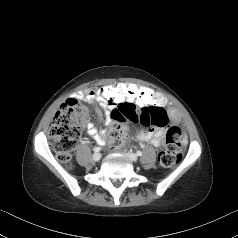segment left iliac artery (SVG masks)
<instances>
[{"mask_svg": "<svg viewBox=\"0 0 238 238\" xmlns=\"http://www.w3.org/2000/svg\"><path fill=\"white\" fill-rule=\"evenodd\" d=\"M137 155L138 156H142V152L141 151H137Z\"/></svg>", "mask_w": 238, "mask_h": 238, "instance_id": "obj_1", "label": "left iliac artery"}]
</instances>
